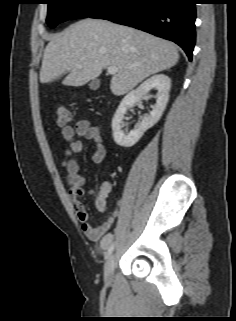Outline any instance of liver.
<instances>
[{
    "label": "liver",
    "instance_id": "6515ba94",
    "mask_svg": "<svg viewBox=\"0 0 236 321\" xmlns=\"http://www.w3.org/2000/svg\"><path fill=\"white\" fill-rule=\"evenodd\" d=\"M178 60V49L169 41L132 27L87 18L50 37L40 81L50 83L68 73L62 84L78 87L97 78L103 69L116 66L118 72L110 89L120 96Z\"/></svg>",
    "mask_w": 236,
    "mask_h": 321
}]
</instances>
